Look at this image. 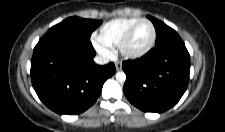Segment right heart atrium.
Returning <instances> with one entry per match:
<instances>
[{"label": "right heart atrium", "instance_id": "1", "mask_svg": "<svg viewBox=\"0 0 225 132\" xmlns=\"http://www.w3.org/2000/svg\"><path fill=\"white\" fill-rule=\"evenodd\" d=\"M96 46L101 53L106 54V55L110 53L108 47H106L100 43H97Z\"/></svg>", "mask_w": 225, "mask_h": 132}]
</instances>
